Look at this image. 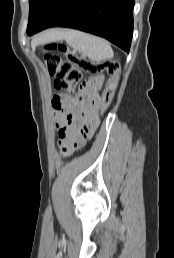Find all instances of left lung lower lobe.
<instances>
[{
    "instance_id": "obj_1",
    "label": "left lung lower lobe",
    "mask_w": 174,
    "mask_h": 258,
    "mask_svg": "<svg viewBox=\"0 0 174 258\" xmlns=\"http://www.w3.org/2000/svg\"><path fill=\"white\" fill-rule=\"evenodd\" d=\"M135 0H58L33 35L49 27H69L104 37L129 52Z\"/></svg>"
}]
</instances>
